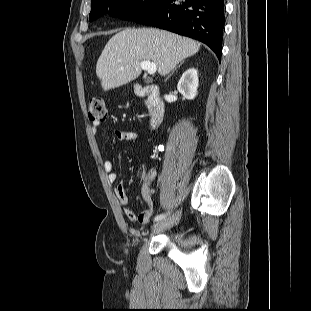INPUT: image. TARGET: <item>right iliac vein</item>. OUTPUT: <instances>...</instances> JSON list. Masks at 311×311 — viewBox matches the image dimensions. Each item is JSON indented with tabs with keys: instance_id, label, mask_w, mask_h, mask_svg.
<instances>
[{
	"instance_id": "63e3f726",
	"label": "right iliac vein",
	"mask_w": 311,
	"mask_h": 311,
	"mask_svg": "<svg viewBox=\"0 0 311 311\" xmlns=\"http://www.w3.org/2000/svg\"><path fill=\"white\" fill-rule=\"evenodd\" d=\"M180 217H181V211L179 210L175 214H173L172 216L154 224L153 230L154 231H161V230H164L166 228H169L173 224H175L177 221H179Z\"/></svg>"
}]
</instances>
